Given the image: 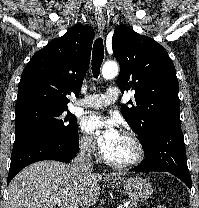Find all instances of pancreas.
I'll return each instance as SVG.
<instances>
[{
    "label": "pancreas",
    "mask_w": 199,
    "mask_h": 208,
    "mask_svg": "<svg viewBox=\"0 0 199 208\" xmlns=\"http://www.w3.org/2000/svg\"><path fill=\"white\" fill-rule=\"evenodd\" d=\"M127 203H128L127 208H136L137 207V203L135 201L128 200Z\"/></svg>",
    "instance_id": "1"
}]
</instances>
